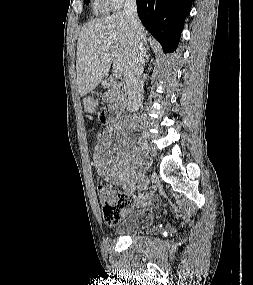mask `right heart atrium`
Instances as JSON below:
<instances>
[{
	"mask_svg": "<svg viewBox=\"0 0 253 285\" xmlns=\"http://www.w3.org/2000/svg\"><path fill=\"white\" fill-rule=\"evenodd\" d=\"M101 1L107 9L117 10L131 0H101Z\"/></svg>",
	"mask_w": 253,
	"mask_h": 285,
	"instance_id": "right-heart-atrium-1",
	"label": "right heart atrium"
}]
</instances>
